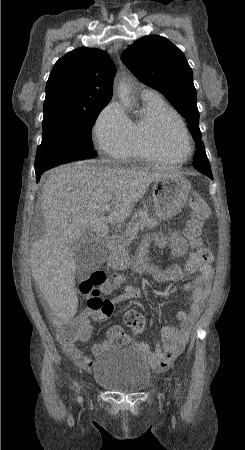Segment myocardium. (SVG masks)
Listing matches in <instances>:
<instances>
[{"instance_id": "myocardium-1", "label": "myocardium", "mask_w": 245, "mask_h": 450, "mask_svg": "<svg viewBox=\"0 0 245 450\" xmlns=\"http://www.w3.org/2000/svg\"><path fill=\"white\" fill-rule=\"evenodd\" d=\"M167 121H173L181 130L182 134L185 137L187 146H188V152L185 155L182 156H177L175 154H173L172 152H170L161 142L160 140V136H159V131L158 128L160 126H162L164 123H166ZM150 143L151 146L158 151L159 153L170 157L171 159L174 160H185L187 158H189L193 152V144H192V140L190 137V134L187 130V128L185 127L184 124H182L181 122H179L177 119L172 118L170 116H164L158 119V121L153 125L151 131H150Z\"/></svg>"}]
</instances>
